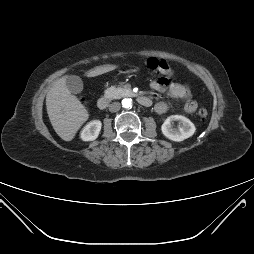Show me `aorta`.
<instances>
[{
  "instance_id": "762f6f07",
  "label": "aorta",
  "mask_w": 254,
  "mask_h": 254,
  "mask_svg": "<svg viewBox=\"0 0 254 254\" xmlns=\"http://www.w3.org/2000/svg\"><path fill=\"white\" fill-rule=\"evenodd\" d=\"M122 106L124 108H131L132 107V99L130 98H125L122 100Z\"/></svg>"
}]
</instances>
